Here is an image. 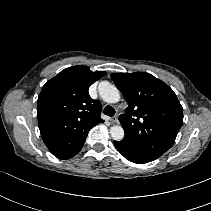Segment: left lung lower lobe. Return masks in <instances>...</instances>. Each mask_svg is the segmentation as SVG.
Wrapping results in <instances>:
<instances>
[{"label":"left lung lower lobe","instance_id":"1","mask_svg":"<svg viewBox=\"0 0 211 211\" xmlns=\"http://www.w3.org/2000/svg\"><path fill=\"white\" fill-rule=\"evenodd\" d=\"M114 145L117 148V150L129 161L138 163V164H144L148 163L151 160H148L144 158L143 156L136 153L134 150L130 148L123 140L121 141H114Z\"/></svg>","mask_w":211,"mask_h":211}]
</instances>
